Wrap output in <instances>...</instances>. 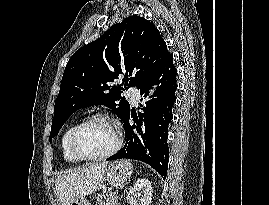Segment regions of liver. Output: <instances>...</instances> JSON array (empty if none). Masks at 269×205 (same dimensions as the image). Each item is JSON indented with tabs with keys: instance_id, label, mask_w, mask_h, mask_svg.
Returning <instances> with one entry per match:
<instances>
[{
	"instance_id": "obj_1",
	"label": "liver",
	"mask_w": 269,
	"mask_h": 205,
	"mask_svg": "<svg viewBox=\"0 0 269 205\" xmlns=\"http://www.w3.org/2000/svg\"><path fill=\"white\" fill-rule=\"evenodd\" d=\"M106 168L107 162H102L58 176L55 180V187L60 205H70L74 200L96 191L105 180Z\"/></svg>"
}]
</instances>
